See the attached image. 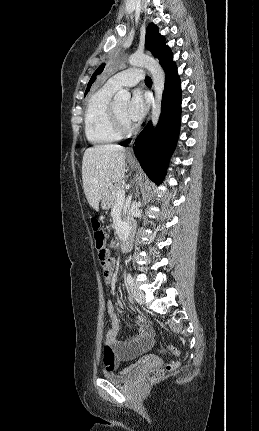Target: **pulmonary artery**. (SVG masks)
<instances>
[{
  "instance_id": "obj_1",
  "label": "pulmonary artery",
  "mask_w": 259,
  "mask_h": 431,
  "mask_svg": "<svg viewBox=\"0 0 259 431\" xmlns=\"http://www.w3.org/2000/svg\"><path fill=\"white\" fill-rule=\"evenodd\" d=\"M143 76V71L141 69L132 68L114 75L106 84L115 90L122 87H131L140 82Z\"/></svg>"
}]
</instances>
